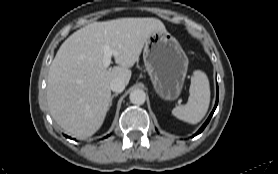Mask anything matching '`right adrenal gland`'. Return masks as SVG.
Listing matches in <instances>:
<instances>
[{"label": "right adrenal gland", "mask_w": 278, "mask_h": 174, "mask_svg": "<svg viewBox=\"0 0 278 174\" xmlns=\"http://www.w3.org/2000/svg\"><path fill=\"white\" fill-rule=\"evenodd\" d=\"M116 96H118V93H115V94H113V95L111 96V98H110V103H109V107H111V105H112V100H113V98L116 97Z\"/></svg>", "instance_id": "right-adrenal-gland-1"}]
</instances>
